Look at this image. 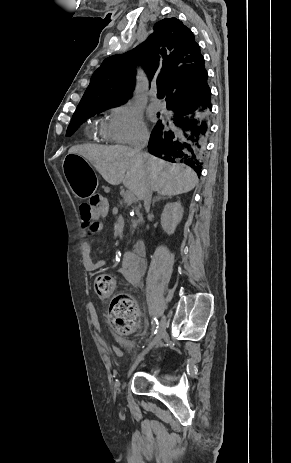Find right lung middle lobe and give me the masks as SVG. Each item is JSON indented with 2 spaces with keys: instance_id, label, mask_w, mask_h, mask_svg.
Returning a JSON list of instances; mask_svg holds the SVG:
<instances>
[{
  "instance_id": "1",
  "label": "right lung middle lobe",
  "mask_w": 291,
  "mask_h": 463,
  "mask_svg": "<svg viewBox=\"0 0 291 463\" xmlns=\"http://www.w3.org/2000/svg\"><path fill=\"white\" fill-rule=\"evenodd\" d=\"M122 104L121 102L119 103H108V104H103V105H98V106H93V107H88V108H79L76 109V111L73 114L72 120L67 128L66 135L70 136L81 124L85 119L88 117L92 116L93 114L102 112L106 109L112 108L116 105Z\"/></svg>"
}]
</instances>
